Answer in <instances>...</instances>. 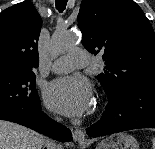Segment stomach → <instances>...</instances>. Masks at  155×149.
Instances as JSON below:
<instances>
[{"label":"stomach","instance_id":"stomach-1","mask_svg":"<svg viewBox=\"0 0 155 149\" xmlns=\"http://www.w3.org/2000/svg\"><path fill=\"white\" fill-rule=\"evenodd\" d=\"M96 149H139V144L127 133H116L104 138Z\"/></svg>","mask_w":155,"mask_h":149}]
</instances>
